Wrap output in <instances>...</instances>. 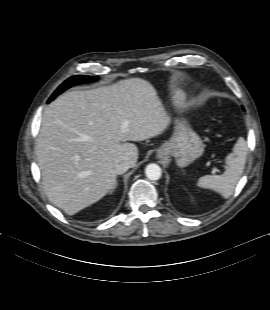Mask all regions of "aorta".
Returning <instances> with one entry per match:
<instances>
[{"instance_id": "aorta-1", "label": "aorta", "mask_w": 270, "mask_h": 310, "mask_svg": "<svg viewBox=\"0 0 270 310\" xmlns=\"http://www.w3.org/2000/svg\"><path fill=\"white\" fill-rule=\"evenodd\" d=\"M145 174L149 180L156 181L161 178L162 172H161V168L159 165L155 163H151L146 166Z\"/></svg>"}]
</instances>
